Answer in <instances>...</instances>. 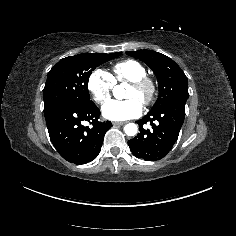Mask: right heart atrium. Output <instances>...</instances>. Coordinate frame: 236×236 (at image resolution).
Segmentation results:
<instances>
[{
	"label": "right heart atrium",
	"instance_id": "1",
	"mask_svg": "<svg viewBox=\"0 0 236 236\" xmlns=\"http://www.w3.org/2000/svg\"><path fill=\"white\" fill-rule=\"evenodd\" d=\"M87 85L93 101L100 106L111 99L115 90L113 77L101 69H96L91 73Z\"/></svg>",
	"mask_w": 236,
	"mask_h": 236
}]
</instances>
